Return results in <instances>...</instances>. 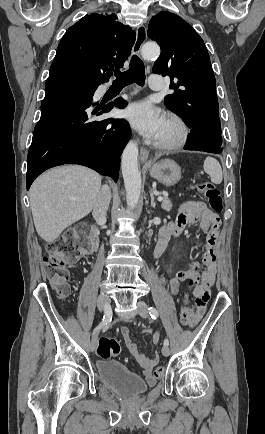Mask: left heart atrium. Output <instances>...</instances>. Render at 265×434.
Here are the masks:
<instances>
[{
	"label": "left heart atrium",
	"instance_id": "39dd6f15",
	"mask_svg": "<svg viewBox=\"0 0 265 434\" xmlns=\"http://www.w3.org/2000/svg\"><path fill=\"white\" fill-rule=\"evenodd\" d=\"M125 117L136 130L155 141L161 138L166 127L160 109L147 101L130 104L125 110Z\"/></svg>",
	"mask_w": 265,
	"mask_h": 434
}]
</instances>
